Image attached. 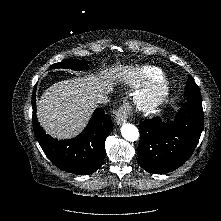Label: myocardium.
<instances>
[{
  "label": "myocardium",
  "instance_id": "1",
  "mask_svg": "<svg viewBox=\"0 0 221 221\" xmlns=\"http://www.w3.org/2000/svg\"><path fill=\"white\" fill-rule=\"evenodd\" d=\"M169 94L170 86L168 82L158 79L136 95V107L146 114L155 112L166 101Z\"/></svg>",
  "mask_w": 221,
  "mask_h": 221
}]
</instances>
